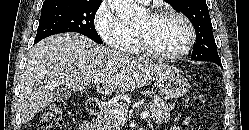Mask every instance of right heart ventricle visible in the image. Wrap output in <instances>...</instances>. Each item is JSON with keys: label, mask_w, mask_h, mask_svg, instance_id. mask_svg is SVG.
I'll list each match as a JSON object with an SVG mask.
<instances>
[{"label": "right heart ventricle", "mask_w": 249, "mask_h": 130, "mask_svg": "<svg viewBox=\"0 0 249 130\" xmlns=\"http://www.w3.org/2000/svg\"><path fill=\"white\" fill-rule=\"evenodd\" d=\"M129 52L130 53H139L140 52V48H139V43H138L136 32H134V37H133V41L131 43Z\"/></svg>", "instance_id": "1"}]
</instances>
